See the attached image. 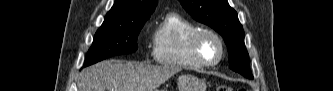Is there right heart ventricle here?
Masks as SVG:
<instances>
[{"mask_svg":"<svg viewBox=\"0 0 333 91\" xmlns=\"http://www.w3.org/2000/svg\"><path fill=\"white\" fill-rule=\"evenodd\" d=\"M199 27L187 18L168 14L155 30L153 57L162 65L180 69L195 70L202 66L197 63L191 50V39Z\"/></svg>","mask_w":333,"mask_h":91,"instance_id":"obj_1","label":"right heart ventricle"}]
</instances>
